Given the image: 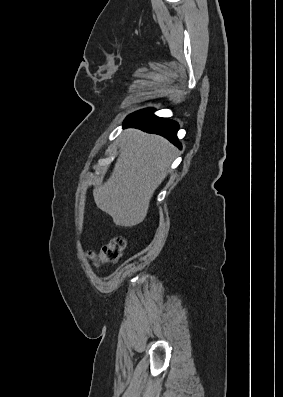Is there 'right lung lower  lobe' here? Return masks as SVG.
Returning <instances> with one entry per match:
<instances>
[{
  "mask_svg": "<svg viewBox=\"0 0 283 397\" xmlns=\"http://www.w3.org/2000/svg\"><path fill=\"white\" fill-rule=\"evenodd\" d=\"M153 112L154 109L152 108L137 111L125 119L124 126L138 128L148 133L159 134L181 148V143L177 138L178 123L173 120L157 117Z\"/></svg>",
  "mask_w": 283,
  "mask_h": 397,
  "instance_id": "98d812e1",
  "label": "right lung lower lobe"
}]
</instances>
